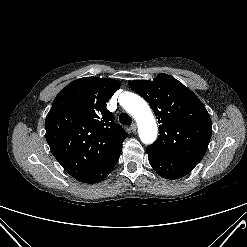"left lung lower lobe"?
<instances>
[{"instance_id": "1", "label": "left lung lower lobe", "mask_w": 247, "mask_h": 247, "mask_svg": "<svg viewBox=\"0 0 247 247\" xmlns=\"http://www.w3.org/2000/svg\"><path fill=\"white\" fill-rule=\"evenodd\" d=\"M146 151L152 168L165 179L174 180L184 177L196 166V163L172 158L149 146Z\"/></svg>"}]
</instances>
